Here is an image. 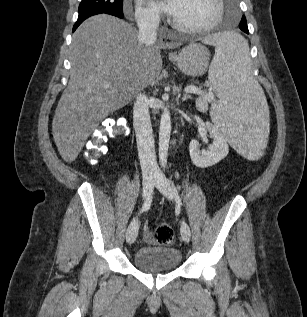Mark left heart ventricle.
<instances>
[{
	"mask_svg": "<svg viewBox=\"0 0 307 317\" xmlns=\"http://www.w3.org/2000/svg\"><path fill=\"white\" fill-rule=\"evenodd\" d=\"M216 11L215 0H181L173 18L186 27H199L210 23Z\"/></svg>",
	"mask_w": 307,
	"mask_h": 317,
	"instance_id": "1",
	"label": "left heart ventricle"
}]
</instances>
